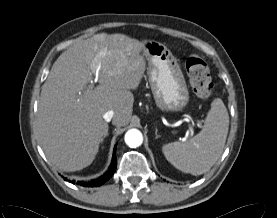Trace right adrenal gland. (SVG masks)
Wrapping results in <instances>:
<instances>
[{
  "instance_id": "obj_1",
  "label": "right adrenal gland",
  "mask_w": 277,
  "mask_h": 218,
  "mask_svg": "<svg viewBox=\"0 0 277 218\" xmlns=\"http://www.w3.org/2000/svg\"><path fill=\"white\" fill-rule=\"evenodd\" d=\"M106 136H107V135H106ZM106 136H105V137H106ZM105 137H104V138H105ZM104 138L102 139V142L104 141Z\"/></svg>"
}]
</instances>
